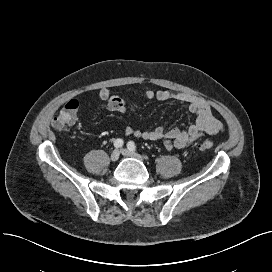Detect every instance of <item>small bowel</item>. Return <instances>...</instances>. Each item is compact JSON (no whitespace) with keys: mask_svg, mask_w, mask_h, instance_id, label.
<instances>
[{"mask_svg":"<svg viewBox=\"0 0 272 272\" xmlns=\"http://www.w3.org/2000/svg\"><path fill=\"white\" fill-rule=\"evenodd\" d=\"M98 96L102 101L101 108L118 113H125L127 110V102L118 95H112L108 88H101ZM142 97L146 100L156 99L158 101H166L175 99L196 115V121L186 128L174 127L167 129L165 126H158L152 130H140L138 128L127 126L125 135L134 136L150 141H162L167 149H185L193 142L204 135H216L223 130L222 123L214 116L209 101L197 96L188 95L176 90H146L142 93ZM77 100H70L66 103L63 110L69 112L71 117L70 126L78 123ZM86 130V126L82 125Z\"/></svg>","mask_w":272,"mask_h":272,"instance_id":"1","label":"small bowel"}]
</instances>
